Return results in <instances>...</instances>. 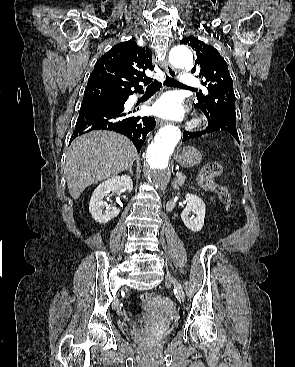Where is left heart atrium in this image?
Listing matches in <instances>:
<instances>
[{"instance_id":"obj_1","label":"left heart atrium","mask_w":295,"mask_h":367,"mask_svg":"<svg viewBox=\"0 0 295 367\" xmlns=\"http://www.w3.org/2000/svg\"><path fill=\"white\" fill-rule=\"evenodd\" d=\"M152 111L159 117L177 120L183 116L184 107L176 93H167L153 105Z\"/></svg>"}]
</instances>
